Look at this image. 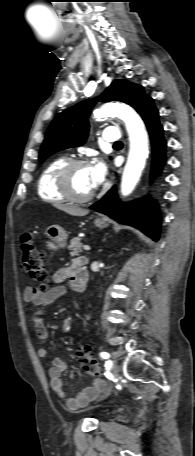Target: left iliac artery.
<instances>
[{
    "mask_svg": "<svg viewBox=\"0 0 195 456\" xmlns=\"http://www.w3.org/2000/svg\"><path fill=\"white\" fill-rule=\"evenodd\" d=\"M100 356H101L102 358H104V359H107V358L110 357L109 353H107V352H101V353H100Z\"/></svg>",
    "mask_w": 195,
    "mask_h": 456,
    "instance_id": "44dca946",
    "label": "left iliac artery"
}]
</instances>
